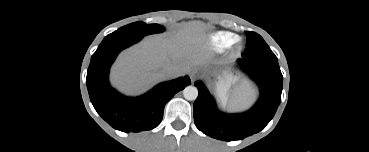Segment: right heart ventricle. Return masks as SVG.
<instances>
[{
	"mask_svg": "<svg viewBox=\"0 0 369 152\" xmlns=\"http://www.w3.org/2000/svg\"><path fill=\"white\" fill-rule=\"evenodd\" d=\"M239 37L229 32H217L211 36L212 45L215 49L228 48L238 41Z\"/></svg>",
	"mask_w": 369,
	"mask_h": 152,
	"instance_id": "e07e8e85",
	"label": "right heart ventricle"
}]
</instances>
